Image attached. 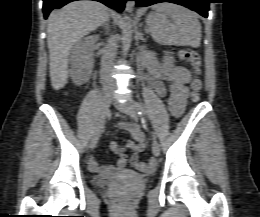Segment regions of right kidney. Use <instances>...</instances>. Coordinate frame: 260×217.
Instances as JSON below:
<instances>
[{
	"mask_svg": "<svg viewBox=\"0 0 260 217\" xmlns=\"http://www.w3.org/2000/svg\"><path fill=\"white\" fill-rule=\"evenodd\" d=\"M98 38V35L87 36L74 47L70 74L76 85H83L90 79L93 68L92 56Z\"/></svg>",
	"mask_w": 260,
	"mask_h": 217,
	"instance_id": "obj_1",
	"label": "right kidney"
}]
</instances>
